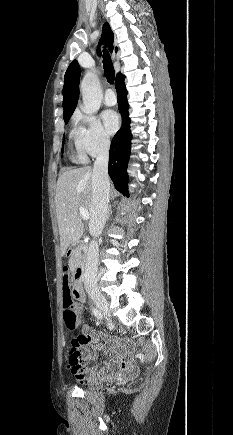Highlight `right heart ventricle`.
<instances>
[{
  "mask_svg": "<svg viewBox=\"0 0 233 435\" xmlns=\"http://www.w3.org/2000/svg\"><path fill=\"white\" fill-rule=\"evenodd\" d=\"M70 138L73 141V144L77 150V153L75 154V158L78 160L83 161L84 160V154L83 151L81 149V145H82V129L81 127L78 125V123L75 121L73 128L70 132Z\"/></svg>",
  "mask_w": 233,
  "mask_h": 435,
  "instance_id": "right-heart-ventricle-1",
  "label": "right heart ventricle"
}]
</instances>
